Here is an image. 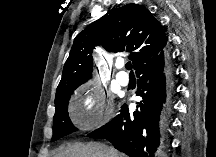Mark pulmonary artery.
I'll return each instance as SVG.
<instances>
[{"label":"pulmonary artery","instance_id":"e3ab8cb5","mask_svg":"<svg viewBox=\"0 0 216 157\" xmlns=\"http://www.w3.org/2000/svg\"><path fill=\"white\" fill-rule=\"evenodd\" d=\"M116 80L123 86H126L129 83V77L124 71H119L116 74Z\"/></svg>","mask_w":216,"mask_h":157}]
</instances>
